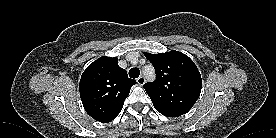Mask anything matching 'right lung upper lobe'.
Instances as JSON below:
<instances>
[{
	"instance_id": "right-lung-upper-lobe-1",
	"label": "right lung upper lobe",
	"mask_w": 276,
	"mask_h": 138,
	"mask_svg": "<svg viewBox=\"0 0 276 138\" xmlns=\"http://www.w3.org/2000/svg\"><path fill=\"white\" fill-rule=\"evenodd\" d=\"M117 62L116 57L102 56L86 68L80 80L84 109L102 123H108L118 116L131 87L136 84Z\"/></svg>"
}]
</instances>
